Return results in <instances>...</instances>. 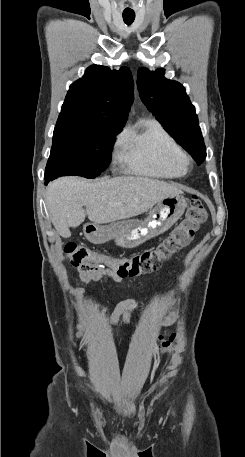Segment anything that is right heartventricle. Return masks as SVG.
<instances>
[{
	"mask_svg": "<svg viewBox=\"0 0 245 457\" xmlns=\"http://www.w3.org/2000/svg\"><path fill=\"white\" fill-rule=\"evenodd\" d=\"M117 153L141 174L178 178L187 172L177 142L156 120H141L127 126L118 143Z\"/></svg>",
	"mask_w": 245,
	"mask_h": 457,
	"instance_id": "1",
	"label": "right heart ventricle"
}]
</instances>
